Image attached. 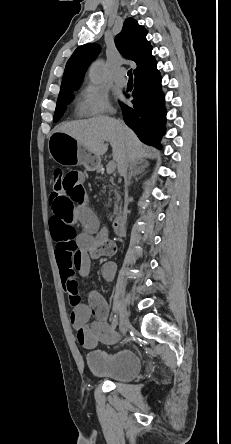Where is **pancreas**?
<instances>
[{
  "label": "pancreas",
  "instance_id": "obj_1",
  "mask_svg": "<svg viewBox=\"0 0 231 444\" xmlns=\"http://www.w3.org/2000/svg\"><path fill=\"white\" fill-rule=\"evenodd\" d=\"M116 198H117V200H119V196L116 194Z\"/></svg>",
  "mask_w": 231,
  "mask_h": 444
}]
</instances>
